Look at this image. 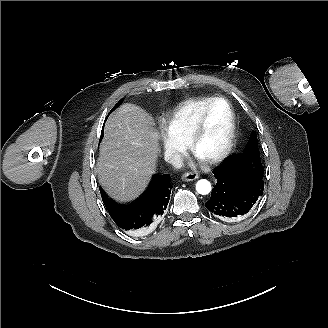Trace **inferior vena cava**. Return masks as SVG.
<instances>
[{
	"label": "inferior vena cava",
	"instance_id": "inferior-vena-cava-1",
	"mask_svg": "<svg viewBox=\"0 0 328 328\" xmlns=\"http://www.w3.org/2000/svg\"><path fill=\"white\" fill-rule=\"evenodd\" d=\"M180 158V153L173 147L167 148L164 153V160L168 163L177 162L180 160Z\"/></svg>",
	"mask_w": 328,
	"mask_h": 328
}]
</instances>
